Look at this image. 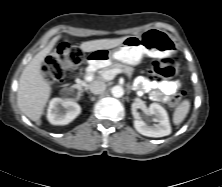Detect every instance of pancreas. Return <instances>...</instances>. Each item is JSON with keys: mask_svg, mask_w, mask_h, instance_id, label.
I'll return each instance as SVG.
<instances>
[{"mask_svg": "<svg viewBox=\"0 0 222 187\" xmlns=\"http://www.w3.org/2000/svg\"><path fill=\"white\" fill-rule=\"evenodd\" d=\"M112 69H119L121 72L126 73L128 76H130L133 72V68L126 66L121 63H111L108 66L102 68L98 73L102 75L105 71L112 70Z\"/></svg>", "mask_w": 222, "mask_h": 187, "instance_id": "cf45deb5", "label": "pancreas"}]
</instances>
